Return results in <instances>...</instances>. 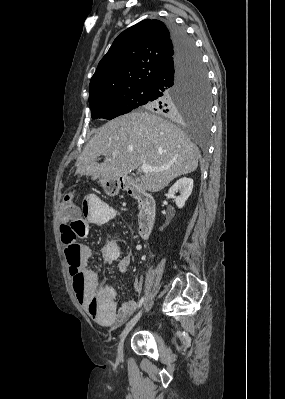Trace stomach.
Listing matches in <instances>:
<instances>
[{"instance_id": "stomach-1", "label": "stomach", "mask_w": 285, "mask_h": 399, "mask_svg": "<svg viewBox=\"0 0 285 399\" xmlns=\"http://www.w3.org/2000/svg\"><path fill=\"white\" fill-rule=\"evenodd\" d=\"M101 184L104 191L110 196L117 195L122 185L120 179L101 180Z\"/></svg>"}]
</instances>
